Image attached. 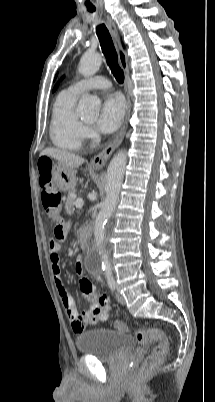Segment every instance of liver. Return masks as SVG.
Returning <instances> with one entry per match:
<instances>
[{"label": "liver", "mask_w": 215, "mask_h": 402, "mask_svg": "<svg viewBox=\"0 0 215 402\" xmlns=\"http://www.w3.org/2000/svg\"><path fill=\"white\" fill-rule=\"evenodd\" d=\"M40 155L41 156H44V155L50 156V157L54 158L55 160H57L58 162H61L72 169L78 168L79 166H81L84 163V159L82 157L75 155L73 153H69V152L62 151L59 149H54V148H46L41 152Z\"/></svg>", "instance_id": "1"}]
</instances>
